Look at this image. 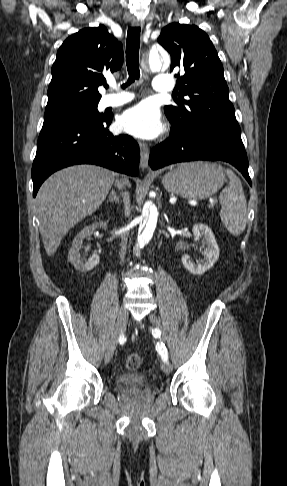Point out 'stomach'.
<instances>
[{
    "label": "stomach",
    "mask_w": 287,
    "mask_h": 486,
    "mask_svg": "<svg viewBox=\"0 0 287 486\" xmlns=\"http://www.w3.org/2000/svg\"><path fill=\"white\" fill-rule=\"evenodd\" d=\"M225 180L221 166L198 161L178 165L162 177V184L170 193L189 199H205L216 193Z\"/></svg>",
    "instance_id": "stomach-1"
}]
</instances>
